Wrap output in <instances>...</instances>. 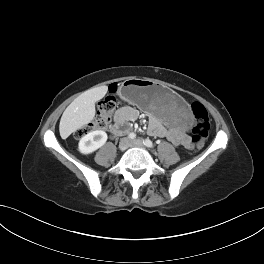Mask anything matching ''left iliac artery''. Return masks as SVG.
Listing matches in <instances>:
<instances>
[{"label":"left iliac artery","mask_w":264,"mask_h":264,"mask_svg":"<svg viewBox=\"0 0 264 264\" xmlns=\"http://www.w3.org/2000/svg\"><path fill=\"white\" fill-rule=\"evenodd\" d=\"M143 143H144L145 146H147L149 148H153L154 147V144H153V142L150 139H145L143 141Z\"/></svg>","instance_id":"obj_1"}]
</instances>
